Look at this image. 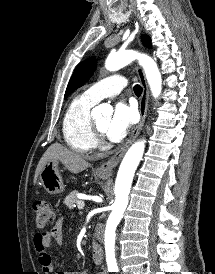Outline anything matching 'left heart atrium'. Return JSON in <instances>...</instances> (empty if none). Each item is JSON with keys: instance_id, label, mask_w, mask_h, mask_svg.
I'll list each match as a JSON object with an SVG mask.
<instances>
[{"instance_id": "1", "label": "left heart atrium", "mask_w": 215, "mask_h": 274, "mask_svg": "<svg viewBox=\"0 0 215 274\" xmlns=\"http://www.w3.org/2000/svg\"><path fill=\"white\" fill-rule=\"evenodd\" d=\"M137 120L136 110L132 106L118 103L106 127V135L112 142L121 141Z\"/></svg>"}]
</instances>
